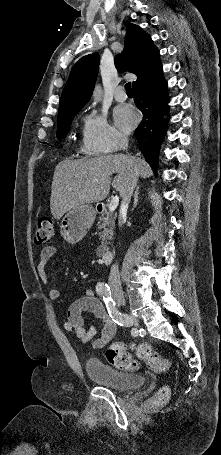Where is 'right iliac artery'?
<instances>
[{"instance_id": "82829eb1", "label": "right iliac artery", "mask_w": 221, "mask_h": 455, "mask_svg": "<svg viewBox=\"0 0 221 455\" xmlns=\"http://www.w3.org/2000/svg\"><path fill=\"white\" fill-rule=\"evenodd\" d=\"M96 292L101 296L106 304L108 313L115 323L118 325H129V320L127 315L122 314L117 308L115 301L111 297L110 287L104 283H98L96 285ZM130 337H138V329H131Z\"/></svg>"}]
</instances>
